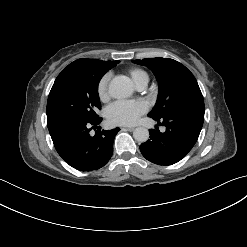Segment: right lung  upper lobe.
I'll list each match as a JSON object with an SVG mask.
<instances>
[{"instance_id": "1", "label": "right lung upper lobe", "mask_w": 247, "mask_h": 247, "mask_svg": "<svg viewBox=\"0 0 247 247\" xmlns=\"http://www.w3.org/2000/svg\"><path fill=\"white\" fill-rule=\"evenodd\" d=\"M116 61H101L96 59H78L65 67L61 73L86 72L115 64Z\"/></svg>"}]
</instances>
